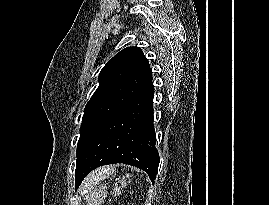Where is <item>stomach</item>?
<instances>
[{"label":"stomach","mask_w":269,"mask_h":205,"mask_svg":"<svg viewBox=\"0 0 269 205\" xmlns=\"http://www.w3.org/2000/svg\"><path fill=\"white\" fill-rule=\"evenodd\" d=\"M107 196V188L100 186L91 191L86 198V205H101Z\"/></svg>","instance_id":"0dacf381"}]
</instances>
